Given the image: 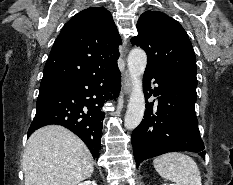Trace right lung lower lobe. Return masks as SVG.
I'll use <instances>...</instances> for the list:
<instances>
[{"label": "right lung lower lobe", "instance_id": "98d812e1", "mask_svg": "<svg viewBox=\"0 0 233 185\" xmlns=\"http://www.w3.org/2000/svg\"><path fill=\"white\" fill-rule=\"evenodd\" d=\"M120 88L118 66L93 75L41 84L28 136L45 125H62L83 140L94 159L98 158L105 116L101 108L105 101L113 98L109 92L118 96Z\"/></svg>", "mask_w": 233, "mask_h": 185}]
</instances>
